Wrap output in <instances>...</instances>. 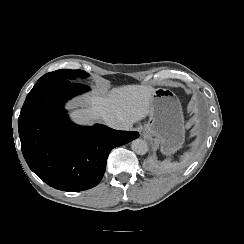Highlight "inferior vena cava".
Listing matches in <instances>:
<instances>
[{"instance_id": "602c4592", "label": "inferior vena cava", "mask_w": 244, "mask_h": 244, "mask_svg": "<svg viewBox=\"0 0 244 244\" xmlns=\"http://www.w3.org/2000/svg\"><path fill=\"white\" fill-rule=\"evenodd\" d=\"M103 121L105 124L113 129H118V130H128L126 126L118 122L116 119L108 118V117H103Z\"/></svg>"}]
</instances>
